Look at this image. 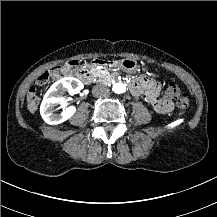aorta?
Here are the masks:
<instances>
[{
	"instance_id": "aorta-1",
	"label": "aorta",
	"mask_w": 217,
	"mask_h": 217,
	"mask_svg": "<svg viewBox=\"0 0 217 217\" xmlns=\"http://www.w3.org/2000/svg\"><path fill=\"white\" fill-rule=\"evenodd\" d=\"M114 91L118 94H123L127 91V86L124 83H116L113 87Z\"/></svg>"
}]
</instances>
